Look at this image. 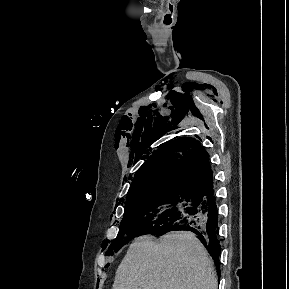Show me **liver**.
<instances>
[{
	"label": "liver",
	"mask_w": 289,
	"mask_h": 289,
	"mask_svg": "<svg viewBox=\"0 0 289 289\" xmlns=\"http://www.w3.org/2000/svg\"><path fill=\"white\" fill-rule=\"evenodd\" d=\"M213 262L192 232L178 231L155 243L137 238L117 268L112 289H217Z\"/></svg>",
	"instance_id": "liver-1"
}]
</instances>
